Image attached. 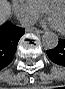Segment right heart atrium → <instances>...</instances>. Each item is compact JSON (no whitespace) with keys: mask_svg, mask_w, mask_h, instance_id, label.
<instances>
[{"mask_svg":"<svg viewBox=\"0 0 65 89\" xmlns=\"http://www.w3.org/2000/svg\"><path fill=\"white\" fill-rule=\"evenodd\" d=\"M13 8L22 23H34L44 12V8L35 0H14Z\"/></svg>","mask_w":65,"mask_h":89,"instance_id":"d8ad5b80","label":"right heart atrium"}]
</instances>
